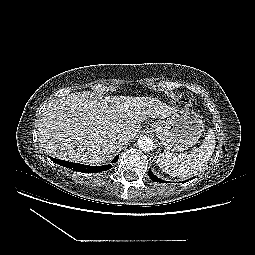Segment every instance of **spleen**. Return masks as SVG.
<instances>
[{
  "label": "spleen",
  "mask_w": 255,
  "mask_h": 255,
  "mask_svg": "<svg viewBox=\"0 0 255 255\" xmlns=\"http://www.w3.org/2000/svg\"><path fill=\"white\" fill-rule=\"evenodd\" d=\"M215 134L213 129L207 131L202 144L190 152L160 153L157 159L159 167L173 177H189L200 172L210 160L215 149Z\"/></svg>",
  "instance_id": "obj_1"
}]
</instances>
